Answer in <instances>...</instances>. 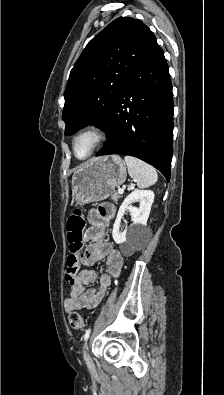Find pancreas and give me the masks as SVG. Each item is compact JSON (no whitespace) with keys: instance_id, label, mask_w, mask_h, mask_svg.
<instances>
[{"instance_id":"obj_1","label":"pancreas","mask_w":224,"mask_h":395,"mask_svg":"<svg viewBox=\"0 0 224 395\" xmlns=\"http://www.w3.org/2000/svg\"><path fill=\"white\" fill-rule=\"evenodd\" d=\"M121 196L118 194V193H113L112 194V196H111V199L114 201V202H117L118 201V199L120 198Z\"/></svg>"}]
</instances>
